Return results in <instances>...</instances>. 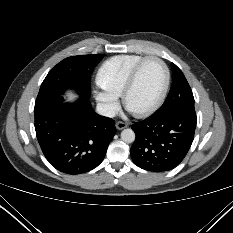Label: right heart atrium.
<instances>
[{"label": "right heart atrium", "mask_w": 233, "mask_h": 233, "mask_svg": "<svg viewBox=\"0 0 233 233\" xmlns=\"http://www.w3.org/2000/svg\"><path fill=\"white\" fill-rule=\"evenodd\" d=\"M94 95L105 114L112 116L116 113L119 107L118 95L104 89L96 90Z\"/></svg>", "instance_id": "right-heart-atrium-1"}]
</instances>
